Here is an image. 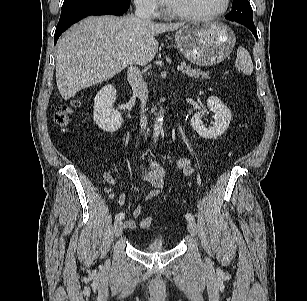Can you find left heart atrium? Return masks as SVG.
Masks as SVG:
<instances>
[{"instance_id": "obj_1", "label": "left heart atrium", "mask_w": 307, "mask_h": 301, "mask_svg": "<svg viewBox=\"0 0 307 301\" xmlns=\"http://www.w3.org/2000/svg\"><path fill=\"white\" fill-rule=\"evenodd\" d=\"M163 4L168 5L170 0H160Z\"/></svg>"}]
</instances>
